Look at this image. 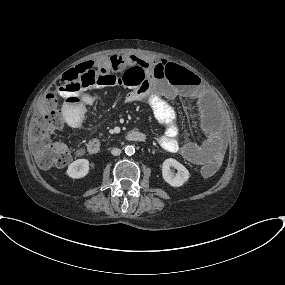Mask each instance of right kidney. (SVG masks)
Returning <instances> with one entry per match:
<instances>
[{"label": "right kidney", "instance_id": "right-kidney-1", "mask_svg": "<svg viewBox=\"0 0 285 285\" xmlns=\"http://www.w3.org/2000/svg\"><path fill=\"white\" fill-rule=\"evenodd\" d=\"M66 173L73 179L85 177L89 173V161L87 159H77L68 166Z\"/></svg>", "mask_w": 285, "mask_h": 285}]
</instances>
